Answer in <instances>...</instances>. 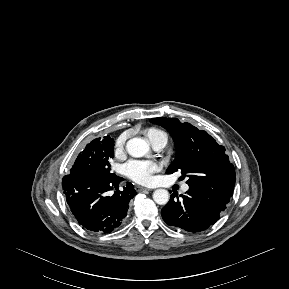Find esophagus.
Wrapping results in <instances>:
<instances>
[{
    "mask_svg": "<svg viewBox=\"0 0 289 289\" xmlns=\"http://www.w3.org/2000/svg\"><path fill=\"white\" fill-rule=\"evenodd\" d=\"M136 191H150L151 189L145 188L143 186H135Z\"/></svg>",
    "mask_w": 289,
    "mask_h": 289,
    "instance_id": "1",
    "label": "esophagus"
}]
</instances>
